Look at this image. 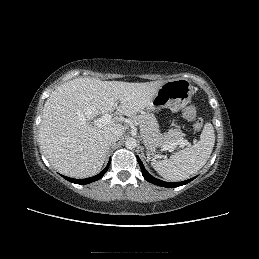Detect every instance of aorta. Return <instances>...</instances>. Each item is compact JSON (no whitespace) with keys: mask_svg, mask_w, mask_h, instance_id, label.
Returning <instances> with one entry per match:
<instances>
[{"mask_svg":"<svg viewBox=\"0 0 259 259\" xmlns=\"http://www.w3.org/2000/svg\"><path fill=\"white\" fill-rule=\"evenodd\" d=\"M125 146L127 149H134L137 146L136 140L134 138H129L125 142Z\"/></svg>","mask_w":259,"mask_h":259,"instance_id":"obj_1","label":"aorta"}]
</instances>
